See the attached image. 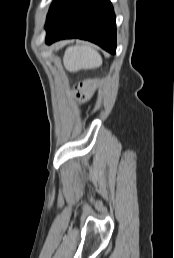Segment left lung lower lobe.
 I'll list each match as a JSON object with an SVG mask.
<instances>
[{
	"mask_svg": "<svg viewBox=\"0 0 174 258\" xmlns=\"http://www.w3.org/2000/svg\"><path fill=\"white\" fill-rule=\"evenodd\" d=\"M46 43L65 38L89 40L116 52V23L109 0H57L47 15Z\"/></svg>",
	"mask_w": 174,
	"mask_h": 258,
	"instance_id": "left-lung-lower-lobe-1",
	"label": "left lung lower lobe"
}]
</instances>
